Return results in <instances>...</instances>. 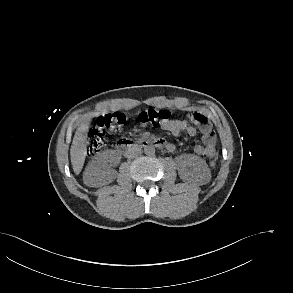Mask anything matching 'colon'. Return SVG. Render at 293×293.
I'll return each instance as SVG.
<instances>
[{
	"label": "colon",
	"mask_w": 293,
	"mask_h": 293,
	"mask_svg": "<svg viewBox=\"0 0 293 293\" xmlns=\"http://www.w3.org/2000/svg\"><path fill=\"white\" fill-rule=\"evenodd\" d=\"M171 117V111L167 109H146L138 114V121L144 126L157 128L166 124ZM190 117L199 122L202 118L193 113ZM124 122V115L121 113H110L100 116L93 128L90 130L87 141V153L94 156L105 147V137L107 133L116 132ZM217 158L210 162L211 167H215Z\"/></svg>",
	"instance_id": "1"
}]
</instances>
